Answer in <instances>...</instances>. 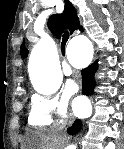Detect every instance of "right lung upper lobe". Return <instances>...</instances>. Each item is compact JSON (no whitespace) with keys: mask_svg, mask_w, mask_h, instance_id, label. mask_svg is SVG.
Returning <instances> with one entry per match:
<instances>
[{"mask_svg":"<svg viewBox=\"0 0 124 149\" xmlns=\"http://www.w3.org/2000/svg\"><path fill=\"white\" fill-rule=\"evenodd\" d=\"M48 27L55 34H61L64 27H68L71 33L78 29L83 31L77 12L69 0H65L63 13L50 16ZM21 55L23 58L28 55V49L25 48L24 44L21 45Z\"/></svg>","mask_w":124,"mask_h":149,"instance_id":"right-lung-upper-lobe-1","label":"right lung upper lobe"}]
</instances>
